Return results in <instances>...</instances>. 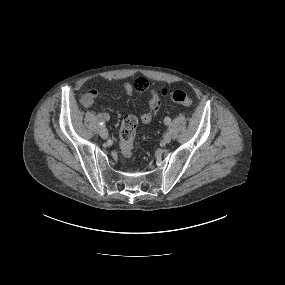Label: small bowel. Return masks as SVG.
<instances>
[{
  "mask_svg": "<svg viewBox=\"0 0 285 285\" xmlns=\"http://www.w3.org/2000/svg\"><path fill=\"white\" fill-rule=\"evenodd\" d=\"M122 90L128 95H131L134 91L137 93L149 92L150 98L148 101V109L140 117V122L143 125L149 124L152 119L158 114L162 106V99L168 94L167 89L158 90L150 86L149 83L147 84L146 88L142 90H137L136 87H133V85L130 83H124ZM100 96L101 93L98 90L90 89L82 96L81 103L85 108H90L95 103L96 99ZM98 118L100 121L106 122L109 120L110 116L108 113L102 112L98 114Z\"/></svg>",
  "mask_w": 285,
  "mask_h": 285,
  "instance_id": "1",
  "label": "small bowel"
}]
</instances>
